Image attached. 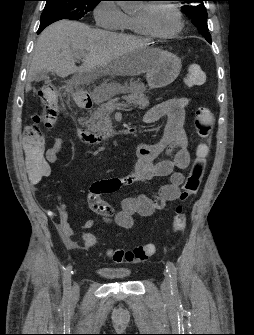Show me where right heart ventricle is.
I'll use <instances>...</instances> for the list:
<instances>
[{"label": "right heart ventricle", "instance_id": "obj_1", "mask_svg": "<svg viewBox=\"0 0 254 335\" xmlns=\"http://www.w3.org/2000/svg\"><path fill=\"white\" fill-rule=\"evenodd\" d=\"M122 30L136 35L144 34L136 22L135 16H127Z\"/></svg>", "mask_w": 254, "mask_h": 335}]
</instances>
